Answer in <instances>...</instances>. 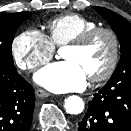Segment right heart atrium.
<instances>
[{"label":"right heart atrium","mask_w":131,"mask_h":131,"mask_svg":"<svg viewBox=\"0 0 131 131\" xmlns=\"http://www.w3.org/2000/svg\"><path fill=\"white\" fill-rule=\"evenodd\" d=\"M11 51L16 65L31 72L53 57L54 46L41 31L27 29L13 39Z\"/></svg>","instance_id":"1"}]
</instances>
